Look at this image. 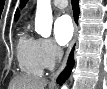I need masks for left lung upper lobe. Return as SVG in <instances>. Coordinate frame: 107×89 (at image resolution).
I'll return each instance as SVG.
<instances>
[{
  "instance_id": "obj_1",
  "label": "left lung upper lobe",
  "mask_w": 107,
  "mask_h": 89,
  "mask_svg": "<svg viewBox=\"0 0 107 89\" xmlns=\"http://www.w3.org/2000/svg\"><path fill=\"white\" fill-rule=\"evenodd\" d=\"M26 3H27V0H21V6L22 7H24Z\"/></svg>"
}]
</instances>
